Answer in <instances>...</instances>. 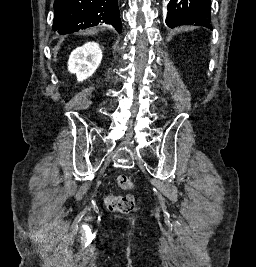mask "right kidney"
Segmentation results:
<instances>
[{
  "instance_id": "ca27d5eb",
  "label": "right kidney",
  "mask_w": 256,
  "mask_h": 267,
  "mask_svg": "<svg viewBox=\"0 0 256 267\" xmlns=\"http://www.w3.org/2000/svg\"><path fill=\"white\" fill-rule=\"evenodd\" d=\"M102 52L99 44L88 42L81 48H76L71 52L68 60V70L70 74H76L77 82H83L96 72L101 64Z\"/></svg>"
}]
</instances>
